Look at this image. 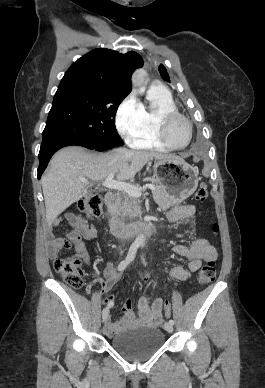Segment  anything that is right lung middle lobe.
<instances>
[{
	"mask_svg": "<svg viewBox=\"0 0 265 388\" xmlns=\"http://www.w3.org/2000/svg\"><path fill=\"white\" fill-rule=\"evenodd\" d=\"M126 96L115 91L74 90L56 93L42 143L70 137L97 148L123 145L115 127V115Z\"/></svg>",
	"mask_w": 265,
	"mask_h": 388,
	"instance_id": "right-lung-middle-lobe-1",
	"label": "right lung middle lobe"
}]
</instances>
